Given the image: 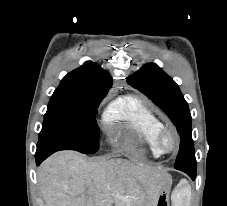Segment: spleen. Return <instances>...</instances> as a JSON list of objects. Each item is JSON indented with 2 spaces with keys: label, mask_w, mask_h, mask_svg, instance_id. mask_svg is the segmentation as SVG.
<instances>
[{
  "label": "spleen",
  "mask_w": 227,
  "mask_h": 206,
  "mask_svg": "<svg viewBox=\"0 0 227 206\" xmlns=\"http://www.w3.org/2000/svg\"><path fill=\"white\" fill-rule=\"evenodd\" d=\"M190 195V186L180 187L176 189L172 195L173 206H188Z\"/></svg>",
  "instance_id": "3e777b00"
}]
</instances>
